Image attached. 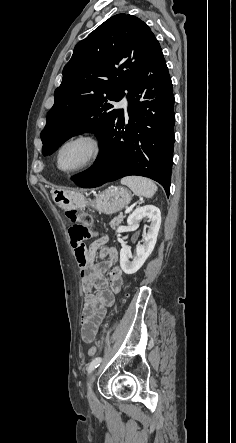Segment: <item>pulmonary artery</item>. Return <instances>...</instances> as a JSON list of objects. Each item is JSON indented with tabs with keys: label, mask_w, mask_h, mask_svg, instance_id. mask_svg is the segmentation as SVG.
I'll list each match as a JSON object with an SVG mask.
<instances>
[{
	"label": "pulmonary artery",
	"mask_w": 236,
	"mask_h": 443,
	"mask_svg": "<svg viewBox=\"0 0 236 443\" xmlns=\"http://www.w3.org/2000/svg\"><path fill=\"white\" fill-rule=\"evenodd\" d=\"M117 107L120 109H123L125 113H127V107H128V99L124 97L118 104Z\"/></svg>",
	"instance_id": "1"
}]
</instances>
